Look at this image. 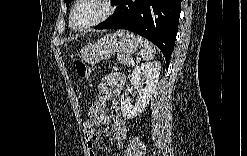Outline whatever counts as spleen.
I'll return each instance as SVG.
<instances>
[{"label": "spleen", "instance_id": "spleen-1", "mask_svg": "<svg viewBox=\"0 0 247 156\" xmlns=\"http://www.w3.org/2000/svg\"><path fill=\"white\" fill-rule=\"evenodd\" d=\"M137 39L140 44V52H139L140 58L146 61L153 59L155 56V52H156V49L153 46V44L141 36H138Z\"/></svg>", "mask_w": 247, "mask_h": 156}]
</instances>
